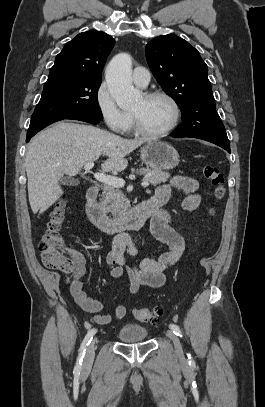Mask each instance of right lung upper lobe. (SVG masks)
<instances>
[{
  "instance_id": "obj_1",
  "label": "right lung upper lobe",
  "mask_w": 265,
  "mask_h": 407,
  "mask_svg": "<svg viewBox=\"0 0 265 407\" xmlns=\"http://www.w3.org/2000/svg\"><path fill=\"white\" fill-rule=\"evenodd\" d=\"M114 44L115 40L102 31L90 30L78 34L56 56L49 77L68 74L101 80L103 66Z\"/></svg>"
}]
</instances>
